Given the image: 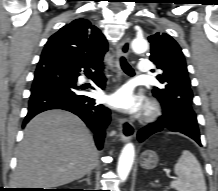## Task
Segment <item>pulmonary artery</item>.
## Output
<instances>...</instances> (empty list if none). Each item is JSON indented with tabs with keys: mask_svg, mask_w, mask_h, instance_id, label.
<instances>
[{
	"mask_svg": "<svg viewBox=\"0 0 218 191\" xmlns=\"http://www.w3.org/2000/svg\"><path fill=\"white\" fill-rule=\"evenodd\" d=\"M150 69V61L149 60H142L138 64L137 68V75L147 74Z\"/></svg>",
	"mask_w": 218,
	"mask_h": 191,
	"instance_id": "e3ab8cb5",
	"label": "pulmonary artery"
}]
</instances>
